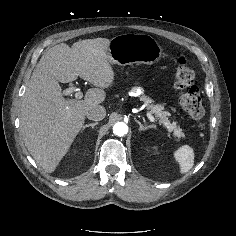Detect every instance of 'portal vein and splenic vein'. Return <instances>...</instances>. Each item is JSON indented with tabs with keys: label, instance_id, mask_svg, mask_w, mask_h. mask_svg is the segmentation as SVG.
I'll list each match as a JSON object with an SVG mask.
<instances>
[{
	"label": "portal vein and splenic vein",
	"instance_id": "18ae733b",
	"mask_svg": "<svg viewBox=\"0 0 236 236\" xmlns=\"http://www.w3.org/2000/svg\"><path fill=\"white\" fill-rule=\"evenodd\" d=\"M73 92H75V98H76V99H82L83 94H82V92L79 90V88H76V87H70V88L66 89V90L64 91V94H65V95H70V94L73 93ZM147 117H148V119H149L151 122H153V123L156 122V119L154 118V116H152V114L147 113Z\"/></svg>",
	"mask_w": 236,
	"mask_h": 236
}]
</instances>
